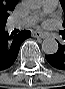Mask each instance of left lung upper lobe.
<instances>
[{
  "label": "left lung upper lobe",
  "instance_id": "1",
  "mask_svg": "<svg viewBox=\"0 0 65 89\" xmlns=\"http://www.w3.org/2000/svg\"><path fill=\"white\" fill-rule=\"evenodd\" d=\"M62 8L64 10V22H63V26L65 27V1L64 0H60ZM61 34L65 35V30L60 31Z\"/></svg>",
  "mask_w": 65,
  "mask_h": 89
}]
</instances>
